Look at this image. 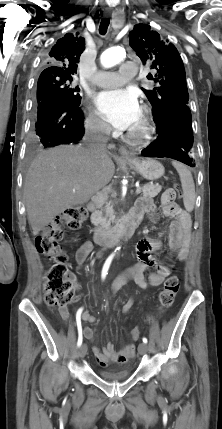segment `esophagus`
I'll list each match as a JSON object with an SVG mask.
<instances>
[{
    "label": "esophagus",
    "instance_id": "1",
    "mask_svg": "<svg viewBox=\"0 0 222 429\" xmlns=\"http://www.w3.org/2000/svg\"><path fill=\"white\" fill-rule=\"evenodd\" d=\"M105 16H108V14H105ZM112 17L114 19H120V20H122L123 13L121 11L117 10V11H115V12L112 13ZM119 153H120L121 158H123V159H130V158H132V155L124 147H120L119 148Z\"/></svg>",
    "mask_w": 222,
    "mask_h": 429
}]
</instances>
